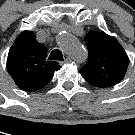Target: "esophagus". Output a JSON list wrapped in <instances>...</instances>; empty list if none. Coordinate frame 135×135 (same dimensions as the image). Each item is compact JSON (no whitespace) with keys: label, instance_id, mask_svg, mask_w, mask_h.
<instances>
[{"label":"esophagus","instance_id":"obj_1","mask_svg":"<svg viewBox=\"0 0 135 135\" xmlns=\"http://www.w3.org/2000/svg\"><path fill=\"white\" fill-rule=\"evenodd\" d=\"M71 61H72V59L68 57L64 61H60L59 63L62 65V64H65V63H69Z\"/></svg>","mask_w":135,"mask_h":135}]
</instances>
